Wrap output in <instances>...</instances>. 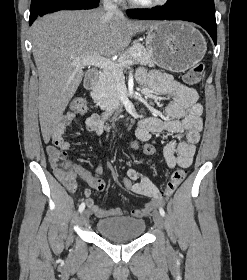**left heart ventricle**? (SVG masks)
<instances>
[{
  "instance_id": "1",
  "label": "left heart ventricle",
  "mask_w": 247,
  "mask_h": 280,
  "mask_svg": "<svg viewBox=\"0 0 247 280\" xmlns=\"http://www.w3.org/2000/svg\"><path fill=\"white\" fill-rule=\"evenodd\" d=\"M137 1H140V2H149V1H152V0H137Z\"/></svg>"
}]
</instances>
